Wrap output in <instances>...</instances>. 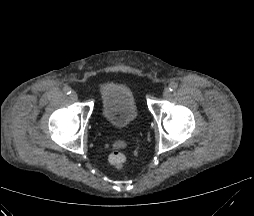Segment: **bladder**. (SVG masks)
<instances>
[{
	"label": "bladder",
	"instance_id": "31cf9c89",
	"mask_svg": "<svg viewBox=\"0 0 254 216\" xmlns=\"http://www.w3.org/2000/svg\"><path fill=\"white\" fill-rule=\"evenodd\" d=\"M103 117L108 125L117 131L132 127L137 110L131 88L125 83L109 82L101 89Z\"/></svg>",
	"mask_w": 254,
	"mask_h": 216
}]
</instances>
